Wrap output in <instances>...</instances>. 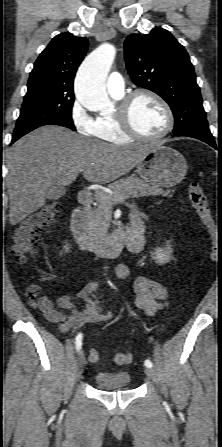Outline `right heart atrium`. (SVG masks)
<instances>
[{"mask_svg":"<svg viewBox=\"0 0 222 447\" xmlns=\"http://www.w3.org/2000/svg\"><path fill=\"white\" fill-rule=\"evenodd\" d=\"M70 117L75 130L82 135H92L95 121L87 114L84 108L76 102L73 104Z\"/></svg>","mask_w":222,"mask_h":447,"instance_id":"right-heart-atrium-1","label":"right heart atrium"}]
</instances>
